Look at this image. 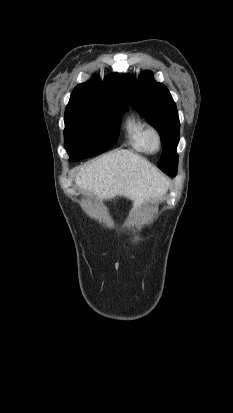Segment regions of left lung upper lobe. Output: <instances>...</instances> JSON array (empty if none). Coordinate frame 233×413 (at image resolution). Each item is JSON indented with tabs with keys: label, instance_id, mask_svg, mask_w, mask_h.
Returning a JSON list of instances; mask_svg holds the SVG:
<instances>
[{
	"label": "left lung upper lobe",
	"instance_id": "obj_1",
	"mask_svg": "<svg viewBox=\"0 0 233 413\" xmlns=\"http://www.w3.org/2000/svg\"><path fill=\"white\" fill-rule=\"evenodd\" d=\"M125 95L130 104L160 133L164 145L159 168L168 175L177 173L179 142V117L176 104L167 87L156 82L150 71L136 80L134 76H122Z\"/></svg>",
	"mask_w": 233,
	"mask_h": 413
}]
</instances>
